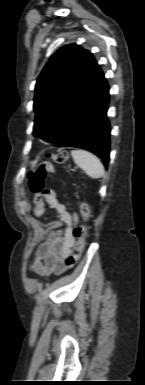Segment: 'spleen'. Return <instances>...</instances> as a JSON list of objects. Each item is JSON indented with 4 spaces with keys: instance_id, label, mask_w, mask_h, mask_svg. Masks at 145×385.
Segmentation results:
<instances>
[{
    "instance_id": "obj_1",
    "label": "spleen",
    "mask_w": 145,
    "mask_h": 385,
    "mask_svg": "<svg viewBox=\"0 0 145 385\" xmlns=\"http://www.w3.org/2000/svg\"><path fill=\"white\" fill-rule=\"evenodd\" d=\"M71 155L74 162L91 178L97 179L104 175L103 164L99 158L91 152L86 150H72Z\"/></svg>"
}]
</instances>
